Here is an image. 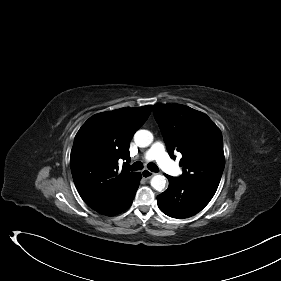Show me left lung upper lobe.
I'll return each mask as SVG.
<instances>
[{"instance_id": "5c2ea615", "label": "left lung upper lobe", "mask_w": 281, "mask_h": 281, "mask_svg": "<svg viewBox=\"0 0 281 281\" xmlns=\"http://www.w3.org/2000/svg\"><path fill=\"white\" fill-rule=\"evenodd\" d=\"M153 111L171 158L176 151L182 154L179 178L216 191L225 165L220 129L206 114L184 105H154Z\"/></svg>"}]
</instances>
